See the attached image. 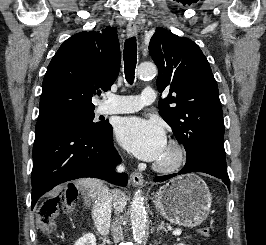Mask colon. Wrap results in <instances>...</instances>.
I'll return each mask as SVG.
<instances>
[{"mask_svg": "<svg viewBox=\"0 0 266 245\" xmlns=\"http://www.w3.org/2000/svg\"><path fill=\"white\" fill-rule=\"evenodd\" d=\"M64 201L62 195L44 201L38 209L37 226L44 233H51L55 226V218L58 214L61 204ZM210 227L205 226L199 229V235L208 237L210 235Z\"/></svg>", "mask_w": 266, "mask_h": 245, "instance_id": "colon-1", "label": "colon"}]
</instances>
